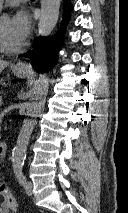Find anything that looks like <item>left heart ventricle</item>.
Instances as JSON below:
<instances>
[{
	"label": "left heart ventricle",
	"instance_id": "left-heart-ventricle-1",
	"mask_svg": "<svg viewBox=\"0 0 128 213\" xmlns=\"http://www.w3.org/2000/svg\"><path fill=\"white\" fill-rule=\"evenodd\" d=\"M0 32L5 42L12 47H18L20 44L16 41L12 28L11 20L8 17L0 18Z\"/></svg>",
	"mask_w": 128,
	"mask_h": 213
}]
</instances>
